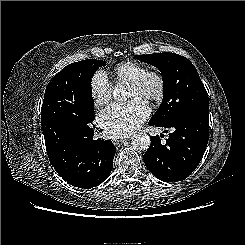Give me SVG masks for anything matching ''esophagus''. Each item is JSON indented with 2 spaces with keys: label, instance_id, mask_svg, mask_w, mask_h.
Masks as SVG:
<instances>
[{
  "label": "esophagus",
  "instance_id": "esophagus-1",
  "mask_svg": "<svg viewBox=\"0 0 245 245\" xmlns=\"http://www.w3.org/2000/svg\"><path fill=\"white\" fill-rule=\"evenodd\" d=\"M114 141L116 144H122L124 142L123 139H115Z\"/></svg>",
  "mask_w": 245,
  "mask_h": 245
}]
</instances>
